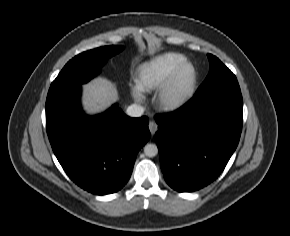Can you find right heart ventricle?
I'll list each match as a JSON object with an SVG mask.
<instances>
[{"instance_id":"obj_1","label":"right heart ventricle","mask_w":290,"mask_h":236,"mask_svg":"<svg viewBox=\"0 0 290 236\" xmlns=\"http://www.w3.org/2000/svg\"><path fill=\"white\" fill-rule=\"evenodd\" d=\"M185 61L184 55L173 52L150 59L138 69L136 77L138 87L146 92L162 87L176 68Z\"/></svg>"}]
</instances>
